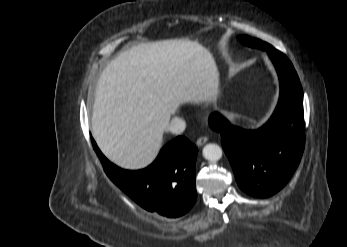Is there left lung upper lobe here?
Segmentation results:
<instances>
[{
    "instance_id": "left-lung-upper-lobe-1",
    "label": "left lung upper lobe",
    "mask_w": 347,
    "mask_h": 247,
    "mask_svg": "<svg viewBox=\"0 0 347 247\" xmlns=\"http://www.w3.org/2000/svg\"><path fill=\"white\" fill-rule=\"evenodd\" d=\"M238 39L247 46L250 47H255V48H259L262 50H266L267 52H271L273 50H275L271 45H269L266 42L260 41L258 39L255 38H250L249 36L243 35V36H239Z\"/></svg>"
}]
</instances>
